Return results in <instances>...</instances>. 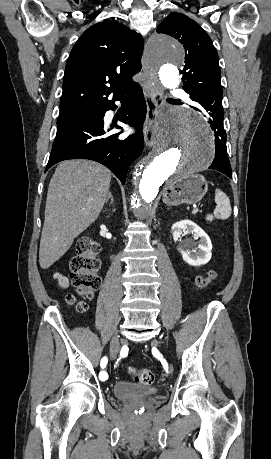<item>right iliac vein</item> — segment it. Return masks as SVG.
<instances>
[{"label":"right iliac vein","mask_w":271,"mask_h":459,"mask_svg":"<svg viewBox=\"0 0 271 459\" xmlns=\"http://www.w3.org/2000/svg\"><path fill=\"white\" fill-rule=\"evenodd\" d=\"M119 340L117 338H114L112 341H111V345H110V354H111V357L113 359H115L118 355V352H119Z\"/></svg>","instance_id":"1"}]
</instances>
